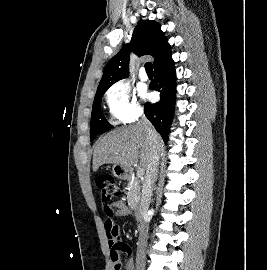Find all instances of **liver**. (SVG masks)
Masks as SVG:
<instances>
[{
  "instance_id": "obj_1",
  "label": "liver",
  "mask_w": 267,
  "mask_h": 270,
  "mask_svg": "<svg viewBox=\"0 0 267 270\" xmlns=\"http://www.w3.org/2000/svg\"><path fill=\"white\" fill-rule=\"evenodd\" d=\"M160 150L163 142L156 132ZM150 158L148 136L139 124L117 128L98 141L93 153V171L103 164H119L131 170L140 162L143 169L147 168Z\"/></svg>"
}]
</instances>
